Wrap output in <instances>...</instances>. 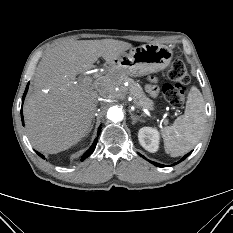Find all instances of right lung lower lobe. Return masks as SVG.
Segmentation results:
<instances>
[{"label": "right lung lower lobe", "instance_id": "obj_1", "mask_svg": "<svg viewBox=\"0 0 233 233\" xmlns=\"http://www.w3.org/2000/svg\"><path fill=\"white\" fill-rule=\"evenodd\" d=\"M27 91H28V86L26 87L25 92H24V94H23L22 104H23V102H24V98H25V96H26ZM21 119H22V123H24V119H23V114H22V112H21ZM100 129H101V127H99V129H98V136H99V131H100ZM97 141H98V138H96V139L94 140V143L92 144V146H91V147L89 148V150H87V151L85 152V154L82 156V158H81L82 161H83L85 158H87L88 156H90V154L94 151V149H95V147H96V145H97ZM37 153H38V152H37ZM38 155H39L41 158L45 159V156H44V155H41L40 153H38Z\"/></svg>", "mask_w": 233, "mask_h": 233}]
</instances>
